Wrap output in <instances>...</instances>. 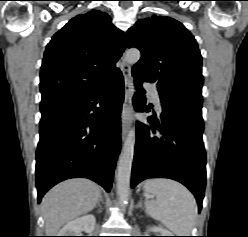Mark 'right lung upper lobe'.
<instances>
[{
  "label": "right lung upper lobe",
  "instance_id": "obj_1",
  "mask_svg": "<svg viewBox=\"0 0 248 237\" xmlns=\"http://www.w3.org/2000/svg\"><path fill=\"white\" fill-rule=\"evenodd\" d=\"M125 35L107 13L72 18L48 43L40 73L41 102L84 93L120 74Z\"/></svg>",
  "mask_w": 248,
  "mask_h": 237
}]
</instances>
